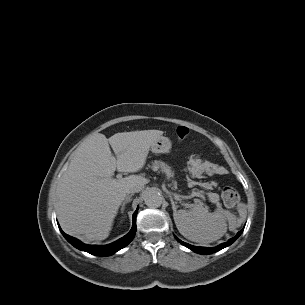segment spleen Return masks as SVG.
Wrapping results in <instances>:
<instances>
[{
  "label": "spleen",
  "mask_w": 305,
  "mask_h": 305,
  "mask_svg": "<svg viewBox=\"0 0 305 305\" xmlns=\"http://www.w3.org/2000/svg\"><path fill=\"white\" fill-rule=\"evenodd\" d=\"M189 210L173 213L176 227L186 239L208 244L220 239L227 230L225 211L219 207L209 213L208 208L200 204H190Z\"/></svg>",
  "instance_id": "1"
}]
</instances>
